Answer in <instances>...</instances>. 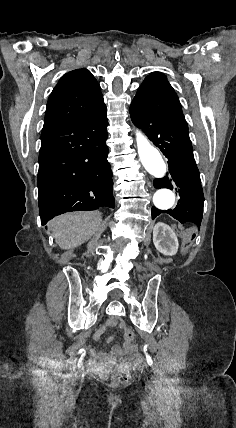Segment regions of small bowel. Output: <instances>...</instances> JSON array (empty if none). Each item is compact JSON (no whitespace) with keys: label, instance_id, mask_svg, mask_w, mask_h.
Listing matches in <instances>:
<instances>
[{"label":"small bowel","instance_id":"c3829d8e","mask_svg":"<svg viewBox=\"0 0 236 428\" xmlns=\"http://www.w3.org/2000/svg\"><path fill=\"white\" fill-rule=\"evenodd\" d=\"M119 326L125 329V325L117 318H110L107 322L100 327L94 335L96 340L106 333L109 329ZM92 357V364L100 371H105L112 366H132L141 361V355L138 353L136 347L126 343L122 346L115 345L110 353L99 352L94 349L90 350Z\"/></svg>","mask_w":236,"mask_h":428}]
</instances>
